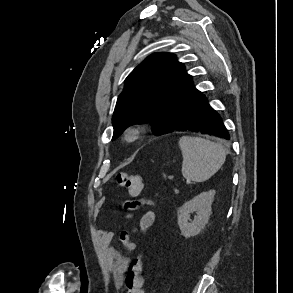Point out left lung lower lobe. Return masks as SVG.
<instances>
[{
    "label": "left lung lower lobe",
    "mask_w": 293,
    "mask_h": 293,
    "mask_svg": "<svg viewBox=\"0 0 293 293\" xmlns=\"http://www.w3.org/2000/svg\"><path fill=\"white\" fill-rule=\"evenodd\" d=\"M173 131H198L230 139L222 118L208 104L207 98L203 95L184 109Z\"/></svg>",
    "instance_id": "1"
}]
</instances>
